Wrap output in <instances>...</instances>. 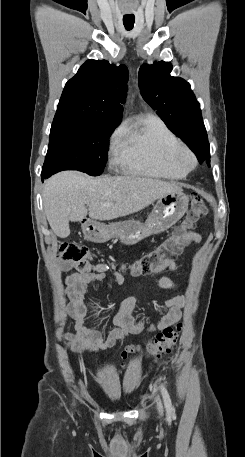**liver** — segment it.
<instances>
[{"label":"liver","instance_id":"liver-1","mask_svg":"<svg viewBox=\"0 0 245 457\" xmlns=\"http://www.w3.org/2000/svg\"><path fill=\"white\" fill-rule=\"evenodd\" d=\"M170 192H182V188L176 182L136 174L93 178L78 170H62L45 180L42 196L53 233L66 239L69 220H83L88 210L90 218L111 220L138 212Z\"/></svg>","mask_w":245,"mask_h":457}]
</instances>
